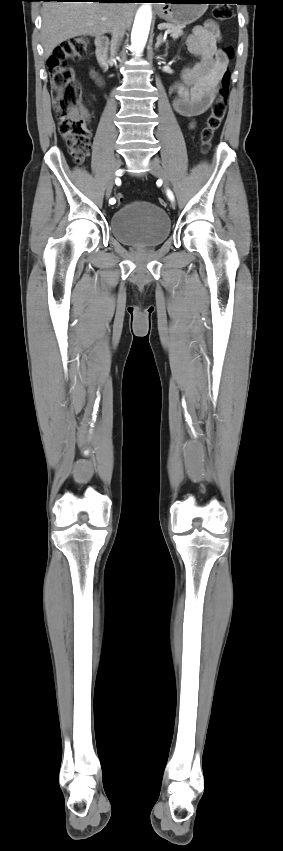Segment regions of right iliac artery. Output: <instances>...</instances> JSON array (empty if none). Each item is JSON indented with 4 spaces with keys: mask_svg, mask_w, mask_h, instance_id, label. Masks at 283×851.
Instances as JSON below:
<instances>
[{
    "mask_svg": "<svg viewBox=\"0 0 283 851\" xmlns=\"http://www.w3.org/2000/svg\"><path fill=\"white\" fill-rule=\"evenodd\" d=\"M116 184H117V187L119 188V187L121 186V181H120L119 179H116ZM109 203H110V204H114V203H115V199H114V198H111V199L109 200Z\"/></svg>",
    "mask_w": 283,
    "mask_h": 851,
    "instance_id": "right-iliac-artery-1",
    "label": "right iliac artery"
}]
</instances>
